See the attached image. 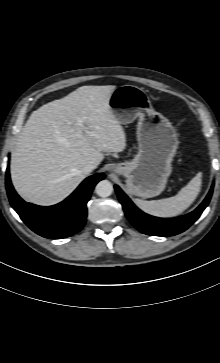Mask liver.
<instances>
[{
  "mask_svg": "<svg viewBox=\"0 0 220 363\" xmlns=\"http://www.w3.org/2000/svg\"><path fill=\"white\" fill-rule=\"evenodd\" d=\"M115 89L82 86L32 112L10 163L11 180L21 197L38 205L59 203L85 179L86 162L97 167L103 152L125 149L124 129L109 106Z\"/></svg>",
  "mask_w": 220,
  "mask_h": 363,
  "instance_id": "6515ba94",
  "label": "liver"
}]
</instances>
